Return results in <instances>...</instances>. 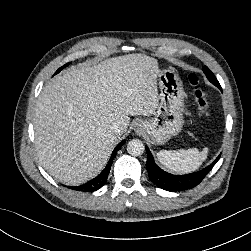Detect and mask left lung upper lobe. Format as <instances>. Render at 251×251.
Returning a JSON list of instances; mask_svg holds the SVG:
<instances>
[{
    "label": "left lung upper lobe",
    "mask_w": 251,
    "mask_h": 251,
    "mask_svg": "<svg viewBox=\"0 0 251 251\" xmlns=\"http://www.w3.org/2000/svg\"><path fill=\"white\" fill-rule=\"evenodd\" d=\"M203 71L211 83H213L214 85L219 84L218 80L216 79L212 71L207 66L203 67Z\"/></svg>",
    "instance_id": "1"
}]
</instances>
